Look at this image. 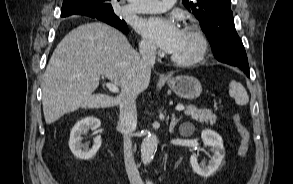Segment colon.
<instances>
[{"mask_svg":"<svg viewBox=\"0 0 293 184\" xmlns=\"http://www.w3.org/2000/svg\"><path fill=\"white\" fill-rule=\"evenodd\" d=\"M233 122L240 136V144H239L238 153L241 157H245L248 153L249 145H250L249 130L242 124L241 116L239 114H235L233 116Z\"/></svg>","mask_w":293,"mask_h":184,"instance_id":"colon-1","label":"colon"}]
</instances>
